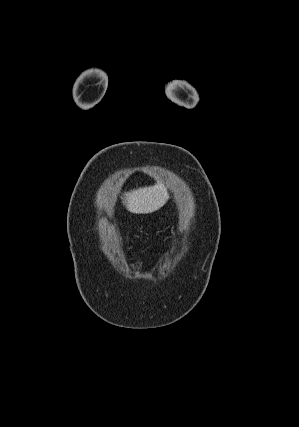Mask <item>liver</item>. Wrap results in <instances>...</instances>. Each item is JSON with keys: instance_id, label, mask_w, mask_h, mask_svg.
Wrapping results in <instances>:
<instances>
[{"instance_id": "obj_1", "label": "liver", "mask_w": 299, "mask_h": 427, "mask_svg": "<svg viewBox=\"0 0 299 427\" xmlns=\"http://www.w3.org/2000/svg\"><path fill=\"white\" fill-rule=\"evenodd\" d=\"M169 199L165 186L158 182L154 186L139 188L122 197L127 210L135 214H148L159 210Z\"/></svg>"}]
</instances>
